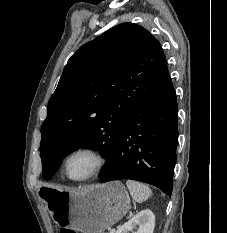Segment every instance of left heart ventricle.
I'll return each instance as SVG.
<instances>
[{
	"instance_id": "obj_1",
	"label": "left heart ventricle",
	"mask_w": 227,
	"mask_h": 233,
	"mask_svg": "<svg viewBox=\"0 0 227 233\" xmlns=\"http://www.w3.org/2000/svg\"><path fill=\"white\" fill-rule=\"evenodd\" d=\"M94 158L86 153L77 154L69 163V173L73 178L86 176L94 167Z\"/></svg>"
}]
</instances>
